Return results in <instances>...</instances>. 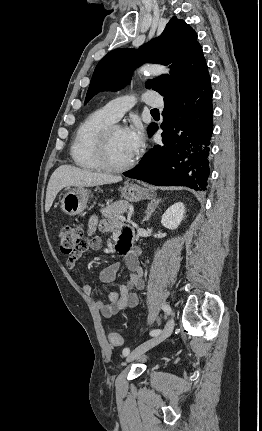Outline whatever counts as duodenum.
<instances>
[{
	"label": "duodenum",
	"mask_w": 262,
	"mask_h": 431,
	"mask_svg": "<svg viewBox=\"0 0 262 431\" xmlns=\"http://www.w3.org/2000/svg\"><path fill=\"white\" fill-rule=\"evenodd\" d=\"M123 247H124V241H122V242H120V243L118 244V249H119V250H122V249H123Z\"/></svg>",
	"instance_id": "obj_1"
}]
</instances>
